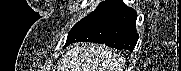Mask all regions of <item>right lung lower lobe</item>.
Wrapping results in <instances>:
<instances>
[{
    "label": "right lung lower lobe",
    "mask_w": 181,
    "mask_h": 71,
    "mask_svg": "<svg viewBox=\"0 0 181 71\" xmlns=\"http://www.w3.org/2000/svg\"><path fill=\"white\" fill-rule=\"evenodd\" d=\"M135 23L134 9L127 7L122 0H107L74 25L65 46L74 42L89 41L133 51L138 41Z\"/></svg>",
    "instance_id": "obj_1"
}]
</instances>
